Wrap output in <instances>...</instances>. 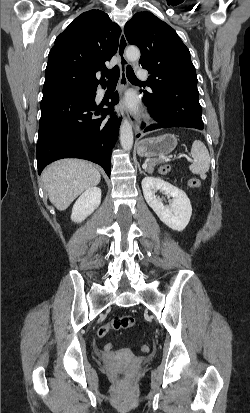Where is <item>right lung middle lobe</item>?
Wrapping results in <instances>:
<instances>
[{
	"mask_svg": "<svg viewBox=\"0 0 250 413\" xmlns=\"http://www.w3.org/2000/svg\"><path fill=\"white\" fill-rule=\"evenodd\" d=\"M88 91L90 90H74V91L60 92L53 96H63V95L74 94V93H86Z\"/></svg>",
	"mask_w": 250,
	"mask_h": 413,
	"instance_id": "obj_1",
	"label": "right lung middle lobe"
}]
</instances>
